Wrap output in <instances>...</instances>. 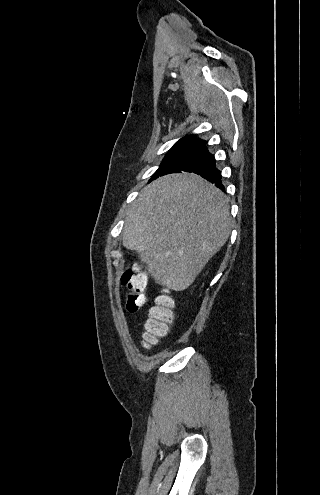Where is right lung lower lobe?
I'll use <instances>...</instances> for the list:
<instances>
[{
  "label": "right lung lower lobe",
  "instance_id": "right-lung-lower-lobe-1",
  "mask_svg": "<svg viewBox=\"0 0 320 495\" xmlns=\"http://www.w3.org/2000/svg\"><path fill=\"white\" fill-rule=\"evenodd\" d=\"M214 156L203 146L199 149L177 172L186 171L199 174L206 180L214 183L216 187L224 190L221 172L216 168Z\"/></svg>",
  "mask_w": 320,
  "mask_h": 495
}]
</instances>
